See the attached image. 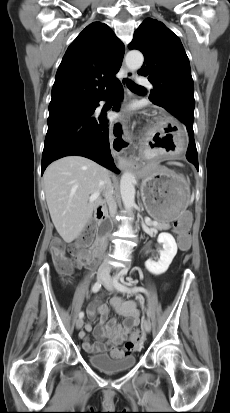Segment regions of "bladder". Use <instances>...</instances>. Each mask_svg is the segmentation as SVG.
Masks as SVG:
<instances>
[{
    "label": "bladder",
    "instance_id": "1",
    "mask_svg": "<svg viewBox=\"0 0 230 413\" xmlns=\"http://www.w3.org/2000/svg\"><path fill=\"white\" fill-rule=\"evenodd\" d=\"M88 361L93 367L105 373L127 371L133 368L137 362L134 355L115 358L108 354H92L88 357Z\"/></svg>",
    "mask_w": 230,
    "mask_h": 413
}]
</instances>
